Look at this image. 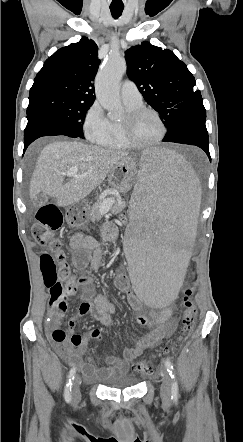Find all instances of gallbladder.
Wrapping results in <instances>:
<instances>
[{
  "instance_id": "obj_1",
  "label": "gallbladder",
  "mask_w": 243,
  "mask_h": 442,
  "mask_svg": "<svg viewBox=\"0 0 243 442\" xmlns=\"http://www.w3.org/2000/svg\"><path fill=\"white\" fill-rule=\"evenodd\" d=\"M45 203L53 204V197L51 195H47L45 193H39L36 198L33 200V204L36 208L44 206Z\"/></svg>"
}]
</instances>
